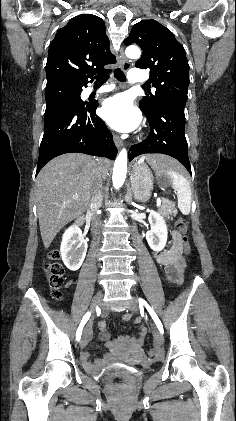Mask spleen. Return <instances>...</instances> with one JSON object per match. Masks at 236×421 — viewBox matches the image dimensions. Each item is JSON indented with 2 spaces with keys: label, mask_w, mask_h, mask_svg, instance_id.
Segmentation results:
<instances>
[{
  "label": "spleen",
  "mask_w": 236,
  "mask_h": 421,
  "mask_svg": "<svg viewBox=\"0 0 236 421\" xmlns=\"http://www.w3.org/2000/svg\"><path fill=\"white\" fill-rule=\"evenodd\" d=\"M144 158L145 156H141L138 162H144ZM170 164H164V166H166L172 178V188H174V192L177 194L179 211H181L182 215H189L192 198L190 182L176 168L170 166Z\"/></svg>",
  "instance_id": "obj_1"
}]
</instances>
